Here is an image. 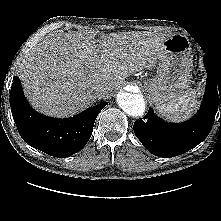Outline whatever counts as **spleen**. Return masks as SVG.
<instances>
[{
	"label": "spleen",
	"instance_id": "1",
	"mask_svg": "<svg viewBox=\"0 0 221 221\" xmlns=\"http://www.w3.org/2000/svg\"><path fill=\"white\" fill-rule=\"evenodd\" d=\"M195 106V96L188 93L179 102L158 107V110L167 119L179 122L189 118Z\"/></svg>",
	"mask_w": 221,
	"mask_h": 221
}]
</instances>
